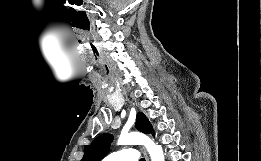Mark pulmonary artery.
<instances>
[{
    "mask_svg": "<svg viewBox=\"0 0 261 161\" xmlns=\"http://www.w3.org/2000/svg\"><path fill=\"white\" fill-rule=\"evenodd\" d=\"M139 154L135 149H120L110 153L102 161H138Z\"/></svg>",
    "mask_w": 261,
    "mask_h": 161,
    "instance_id": "e3ab8cb5",
    "label": "pulmonary artery"
}]
</instances>
